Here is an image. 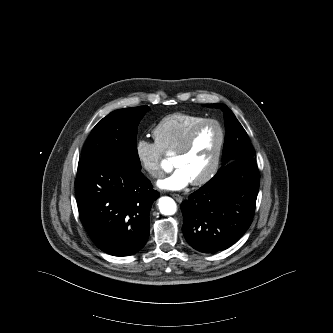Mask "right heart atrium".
Returning <instances> with one entry per match:
<instances>
[{
	"label": "right heart atrium",
	"mask_w": 333,
	"mask_h": 333,
	"mask_svg": "<svg viewBox=\"0 0 333 333\" xmlns=\"http://www.w3.org/2000/svg\"><path fill=\"white\" fill-rule=\"evenodd\" d=\"M135 154L140 166L149 176H162V151L156 142L139 139L135 144Z\"/></svg>",
	"instance_id": "1"
}]
</instances>
